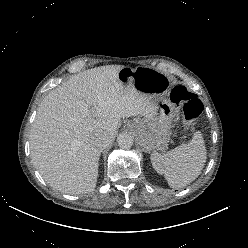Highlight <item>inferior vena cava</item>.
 Masks as SVG:
<instances>
[{
    "mask_svg": "<svg viewBox=\"0 0 248 248\" xmlns=\"http://www.w3.org/2000/svg\"><path fill=\"white\" fill-rule=\"evenodd\" d=\"M110 141H111V137H110L109 135H107V134H102V135L96 137V138L93 140V143H94L97 147H99V148H101V149H105V148L109 145Z\"/></svg>",
    "mask_w": 248,
    "mask_h": 248,
    "instance_id": "1",
    "label": "inferior vena cava"
}]
</instances>
